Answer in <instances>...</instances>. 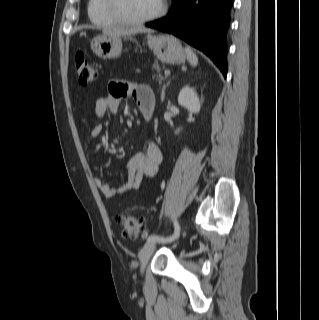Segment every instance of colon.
<instances>
[{
	"label": "colon",
	"mask_w": 319,
	"mask_h": 320,
	"mask_svg": "<svg viewBox=\"0 0 319 320\" xmlns=\"http://www.w3.org/2000/svg\"><path fill=\"white\" fill-rule=\"evenodd\" d=\"M75 68L80 84L89 85L95 80L96 69L84 53L79 52L76 54ZM116 222L122 229V234L125 237L134 238L137 236H146L148 233L146 223L131 213L118 214L116 216Z\"/></svg>",
	"instance_id": "1"
}]
</instances>
